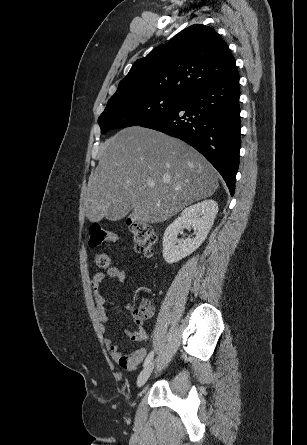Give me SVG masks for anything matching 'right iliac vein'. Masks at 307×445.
<instances>
[{
  "mask_svg": "<svg viewBox=\"0 0 307 445\" xmlns=\"http://www.w3.org/2000/svg\"><path fill=\"white\" fill-rule=\"evenodd\" d=\"M154 368V362H150L139 374L137 379V386L141 388L149 379Z\"/></svg>",
  "mask_w": 307,
  "mask_h": 445,
  "instance_id": "right-iliac-vein-1",
  "label": "right iliac vein"
}]
</instances>
